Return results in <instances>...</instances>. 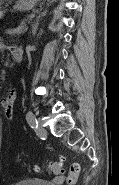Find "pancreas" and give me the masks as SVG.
Masks as SVG:
<instances>
[{
  "mask_svg": "<svg viewBox=\"0 0 119 185\" xmlns=\"http://www.w3.org/2000/svg\"><path fill=\"white\" fill-rule=\"evenodd\" d=\"M26 30H27V27L20 26V27H18L16 29L8 30L7 33L15 35V34L24 33Z\"/></svg>",
  "mask_w": 119,
  "mask_h": 185,
  "instance_id": "obj_1",
  "label": "pancreas"
}]
</instances>
